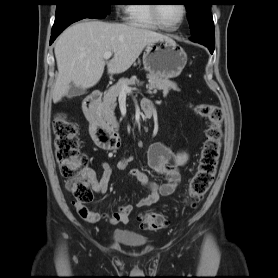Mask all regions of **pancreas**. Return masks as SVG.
Wrapping results in <instances>:
<instances>
[{"label":"pancreas","mask_w":278,"mask_h":278,"mask_svg":"<svg viewBox=\"0 0 278 278\" xmlns=\"http://www.w3.org/2000/svg\"><path fill=\"white\" fill-rule=\"evenodd\" d=\"M149 79L148 93L155 94L158 90L168 92L170 90H179L177 84L170 81L168 78L158 77L155 75H147ZM137 81L135 77L131 79L122 78L114 86L110 87L104 94L103 102L100 106V114L110 124H114L116 121L114 110L116 107V100L118 95L122 91L123 86L134 85Z\"/></svg>","instance_id":"1"}]
</instances>
